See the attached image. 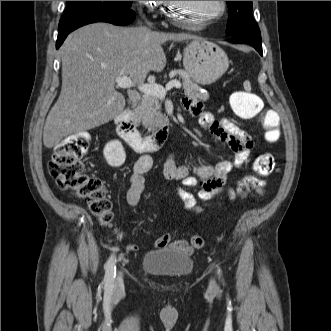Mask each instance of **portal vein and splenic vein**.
<instances>
[{
    "label": "portal vein and splenic vein",
    "mask_w": 331,
    "mask_h": 331,
    "mask_svg": "<svg viewBox=\"0 0 331 331\" xmlns=\"http://www.w3.org/2000/svg\"><path fill=\"white\" fill-rule=\"evenodd\" d=\"M115 82L118 87L124 88V89H126V88L129 89V88L135 86L133 81L127 76L117 77L115 79ZM173 87L181 88V83L177 80H172L169 83H167V85L164 88L163 86H161L159 84L150 82V83L139 85L138 89L140 92H142L144 94H150V95H155L160 98H164L166 96L167 91H169Z\"/></svg>",
    "instance_id": "obj_1"
}]
</instances>
